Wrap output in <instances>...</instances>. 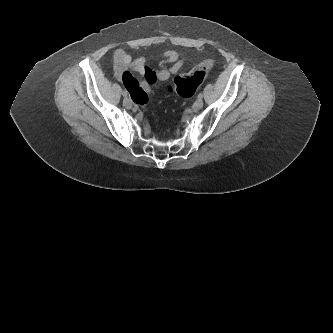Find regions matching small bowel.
Wrapping results in <instances>:
<instances>
[{
    "label": "small bowel",
    "instance_id": "c3829d8e",
    "mask_svg": "<svg viewBox=\"0 0 333 333\" xmlns=\"http://www.w3.org/2000/svg\"><path fill=\"white\" fill-rule=\"evenodd\" d=\"M115 77L122 80L131 92V97L136 104L143 105L152 87L157 82L168 80L171 76L180 73L184 67V58L177 50H167L159 58V69L152 68L148 59L139 57L132 59L123 50H116L113 55ZM134 71L142 78L137 80L131 73Z\"/></svg>",
    "mask_w": 333,
    "mask_h": 333
}]
</instances>
